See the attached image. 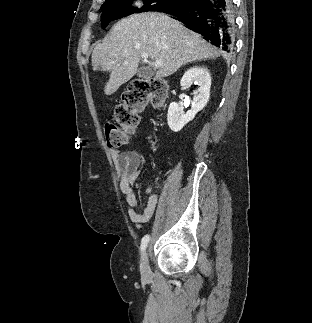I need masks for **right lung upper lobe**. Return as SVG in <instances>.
Masks as SVG:
<instances>
[{
	"instance_id": "1",
	"label": "right lung upper lobe",
	"mask_w": 312,
	"mask_h": 323,
	"mask_svg": "<svg viewBox=\"0 0 312 323\" xmlns=\"http://www.w3.org/2000/svg\"><path fill=\"white\" fill-rule=\"evenodd\" d=\"M112 1H114V0H106V2L104 3V4H106V3H110V2H112ZM103 4V5H104ZM234 4V3H233ZM234 6V5H233ZM234 8V7H233ZM164 10V9H163ZM162 10H160V12H161ZM234 14V13H233Z\"/></svg>"
}]
</instances>
